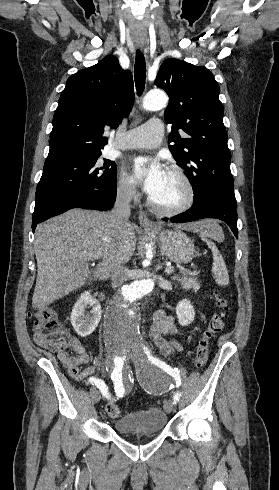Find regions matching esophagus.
Returning a JSON list of instances; mask_svg holds the SVG:
<instances>
[{
	"instance_id": "34e87169",
	"label": "esophagus",
	"mask_w": 279,
	"mask_h": 490,
	"mask_svg": "<svg viewBox=\"0 0 279 490\" xmlns=\"http://www.w3.org/2000/svg\"><path fill=\"white\" fill-rule=\"evenodd\" d=\"M138 220H139V223L142 227L144 228H149V229H156L157 228V225L150 221L146 215L145 212H139V215H138Z\"/></svg>"
}]
</instances>
